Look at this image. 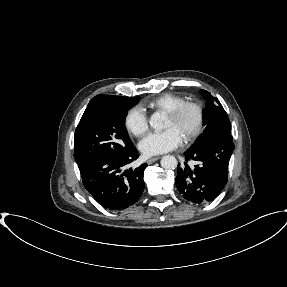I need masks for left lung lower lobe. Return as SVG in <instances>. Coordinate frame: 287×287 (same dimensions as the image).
I'll return each instance as SVG.
<instances>
[{
  "label": "left lung lower lobe",
  "instance_id": "0a47b994",
  "mask_svg": "<svg viewBox=\"0 0 287 287\" xmlns=\"http://www.w3.org/2000/svg\"><path fill=\"white\" fill-rule=\"evenodd\" d=\"M235 146L232 136H224L201 149H190L186 160L196 165H178L176 187L183 197L194 203H207L216 198L228 180V165Z\"/></svg>",
  "mask_w": 287,
  "mask_h": 287
}]
</instances>
